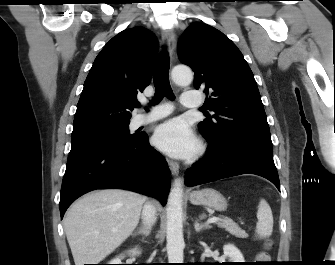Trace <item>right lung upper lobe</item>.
<instances>
[{"instance_id":"right-lung-upper-lobe-1","label":"right lung upper lobe","mask_w":335,"mask_h":265,"mask_svg":"<svg viewBox=\"0 0 335 265\" xmlns=\"http://www.w3.org/2000/svg\"><path fill=\"white\" fill-rule=\"evenodd\" d=\"M158 50L146 28L126 29L112 38L96 57L85 80L74 126L98 122H129L137 93L151 82Z\"/></svg>"}]
</instances>
